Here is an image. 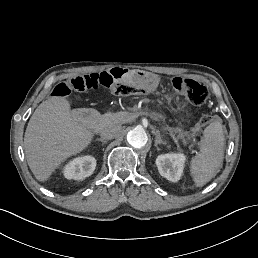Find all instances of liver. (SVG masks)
<instances>
[{
    "mask_svg": "<svg viewBox=\"0 0 258 258\" xmlns=\"http://www.w3.org/2000/svg\"><path fill=\"white\" fill-rule=\"evenodd\" d=\"M92 111L70 110L63 97H52L36 108L26 128L24 147L27 163L38 181H46L63 161L90 144L93 133L83 121Z\"/></svg>",
    "mask_w": 258,
    "mask_h": 258,
    "instance_id": "liver-1",
    "label": "liver"
}]
</instances>
